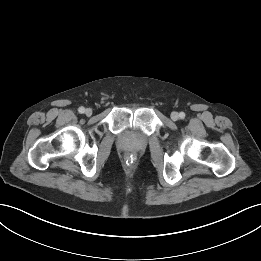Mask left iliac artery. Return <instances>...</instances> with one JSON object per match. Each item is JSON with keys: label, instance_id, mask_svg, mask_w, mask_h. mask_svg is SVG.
Returning a JSON list of instances; mask_svg holds the SVG:
<instances>
[{"label": "left iliac artery", "instance_id": "1", "mask_svg": "<svg viewBox=\"0 0 261 261\" xmlns=\"http://www.w3.org/2000/svg\"><path fill=\"white\" fill-rule=\"evenodd\" d=\"M179 117H180L181 119H184V118H185V113H184V112H180Z\"/></svg>", "mask_w": 261, "mask_h": 261}]
</instances>
